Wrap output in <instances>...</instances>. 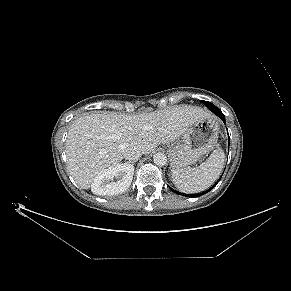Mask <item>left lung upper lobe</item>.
I'll list each match as a JSON object with an SVG mask.
<instances>
[{
	"label": "left lung upper lobe",
	"mask_w": 291,
	"mask_h": 291,
	"mask_svg": "<svg viewBox=\"0 0 291 291\" xmlns=\"http://www.w3.org/2000/svg\"><path fill=\"white\" fill-rule=\"evenodd\" d=\"M204 105H206L210 110L214 109V108H217L215 105H213L212 103L210 102H207V101H202Z\"/></svg>",
	"instance_id": "1"
}]
</instances>
